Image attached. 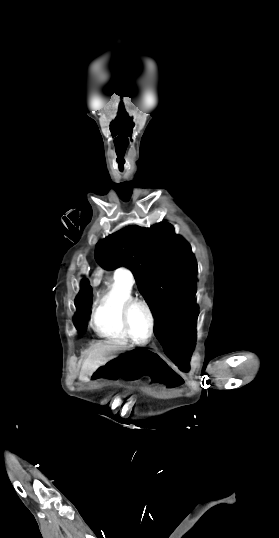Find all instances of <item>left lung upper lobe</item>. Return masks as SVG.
<instances>
[{"instance_id":"5c2ea615","label":"left lung upper lobe","mask_w":279,"mask_h":538,"mask_svg":"<svg viewBox=\"0 0 279 538\" xmlns=\"http://www.w3.org/2000/svg\"><path fill=\"white\" fill-rule=\"evenodd\" d=\"M95 259L105 269L125 266L133 272L154 314V332L195 330L197 264L172 225L127 226L97 244Z\"/></svg>"}]
</instances>
